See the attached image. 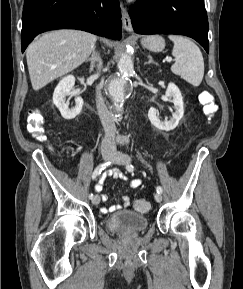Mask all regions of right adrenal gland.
<instances>
[{"mask_svg": "<svg viewBox=\"0 0 243 289\" xmlns=\"http://www.w3.org/2000/svg\"><path fill=\"white\" fill-rule=\"evenodd\" d=\"M86 62H90V72L94 71L96 62H100V56L98 51L96 50V47L92 50V55L88 59H86Z\"/></svg>", "mask_w": 243, "mask_h": 289, "instance_id": "1", "label": "right adrenal gland"}]
</instances>
